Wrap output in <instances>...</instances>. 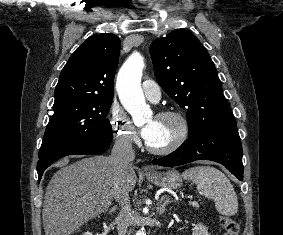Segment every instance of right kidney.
Returning <instances> with one entry per match:
<instances>
[{
  "mask_svg": "<svg viewBox=\"0 0 283 235\" xmlns=\"http://www.w3.org/2000/svg\"><path fill=\"white\" fill-rule=\"evenodd\" d=\"M83 235H92V233L91 232H86Z\"/></svg>",
  "mask_w": 283,
  "mask_h": 235,
  "instance_id": "ca27d5eb",
  "label": "right kidney"
}]
</instances>
